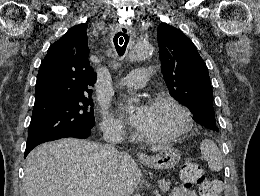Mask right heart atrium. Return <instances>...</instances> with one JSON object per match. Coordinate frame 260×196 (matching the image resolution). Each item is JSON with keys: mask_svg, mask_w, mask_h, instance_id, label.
Here are the masks:
<instances>
[{"mask_svg": "<svg viewBox=\"0 0 260 196\" xmlns=\"http://www.w3.org/2000/svg\"><path fill=\"white\" fill-rule=\"evenodd\" d=\"M101 126H102V129L106 130V131L124 129V126H123L121 120L119 118L115 117L112 113H110L106 109H104L102 111Z\"/></svg>", "mask_w": 260, "mask_h": 196, "instance_id": "right-heart-atrium-1", "label": "right heart atrium"}]
</instances>
